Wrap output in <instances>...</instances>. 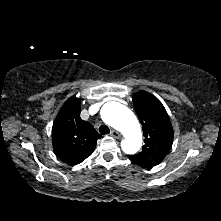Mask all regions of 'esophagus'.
Returning <instances> with one entry per match:
<instances>
[{"label": "esophagus", "mask_w": 221, "mask_h": 221, "mask_svg": "<svg viewBox=\"0 0 221 221\" xmlns=\"http://www.w3.org/2000/svg\"><path fill=\"white\" fill-rule=\"evenodd\" d=\"M110 135L116 139H119L121 137V133L116 130H112Z\"/></svg>", "instance_id": "34e87169"}]
</instances>
